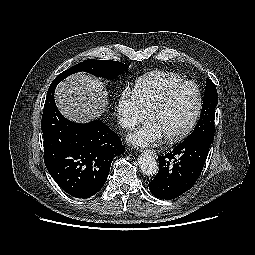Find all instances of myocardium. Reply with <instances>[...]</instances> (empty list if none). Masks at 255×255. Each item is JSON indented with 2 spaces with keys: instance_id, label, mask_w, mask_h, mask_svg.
<instances>
[{
  "instance_id": "obj_1",
  "label": "myocardium",
  "mask_w": 255,
  "mask_h": 255,
  "mask_svg": "<svg viewBox=\"0 0 255 255\" xmlns=\"http://www.w3.org/2000/svg\"><path fill=\"white\" fill-rule=\"evenodd\" d=\"M187 85H192L197 90L198 100H197L196 110H195L190 122L183 130H181L177 134L165 136L166 140L169 143H177V142L182 141L194 129V127L201 115V111H202V107H203V95H202V91H201L199 85L196 84L195 82L189 81V80H185V81L179 83L178 85H176V86L172 87L170 90H168L148 112V117L150 118L153 114L162 110L169 103L170 99L173 97V95L176 92H178L179 90H181L182 88H184Z\"/></svg>"
}]
</instances>
